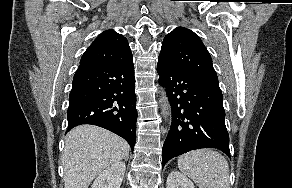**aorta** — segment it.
<instances>
[{"label":"aorta","instance_id":"obj_1","mask_svg":"<svg viewBox=\"0 0 292 188\" xmlns=\"http://www.w3.org/2000/svg\"><path fill=\"white\" fill-rule=\"evenodd\" d=\"M161 108H162V112L165 114V115H169L170 114V111H171V107H170V103L168 101V97H167V94L165 92V89H161Z\"/></svg>","mask_w":292,"mask_h":188}]
</instances>
